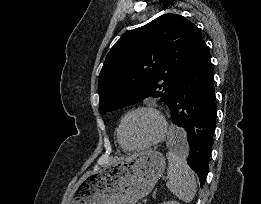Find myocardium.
I'll list each match as a JSON object with an SVG mask.
<instances>
[{
    "mask_svg": "<svg viewBox=\"0 0 261 204\" xmlns=\"http://www.w3.org/2000/svg\"><path fill=\"white\" fill-rule=\"evenodd\" d=\"M143 112L150 113L157 119L158 125H159L158 133L154 138H152L151 140H149L148 142H146L142 145L129 146L124 142L123 137H122V130H123L124 124L131 116L138 114V113H143ZM167 129H168V123H167V119H166L165 115L163 114V112L154 105L145 104V105H140V106H137V107L129 110L122 117V119L119 123L118 129H117V138H118L119 144L125 150L142 151V150H146V149L160 143L165 138Z\"/></svg>",
    "mask_w": 261,
    "mask_h": 204,
    "instance_id": "f54148a6",
    "label": "myocardium"
}]
</instances>
